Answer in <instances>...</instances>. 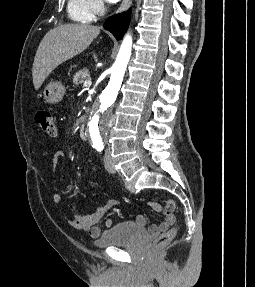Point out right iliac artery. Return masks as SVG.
Listing matches in <instances>:
<instances>
[{
  "label": "right iliac artery",
  "instance_id": "obj_1",
  "mask_svg": "<svg viewBox=\"0 0 255 287\" xmlns=\"http://www.w3.org/2000/svg\"><path fill=\"white\" fill-rule=\"evenodd\" d=\"M98 151H102L103 150V148H99V149H97Z\"/></svg>",
  "mask_w": 255,
  "mask_h": 287
}]
</instances>
